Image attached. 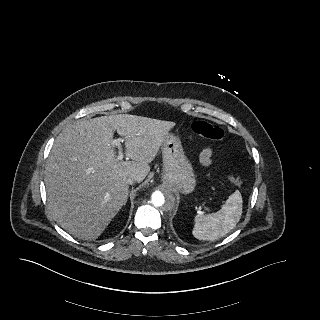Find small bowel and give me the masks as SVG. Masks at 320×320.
I'll list each match as a JSON object with an SVG mask.
<instances>
[{"label":"small bowel","instance_id":"c3829d8e","mask_svg":"<svg viewBox=\"0 0 320 320\" xmlns=\"http://www.w3.org/2000/svg\"><path fill=\"white\" fill-rule=\"evenodd\" d=\"M200 159L204 165H209L212 159V150L210 148L204 149L200 154Z\"/></svg>","mask_w":320,"mask_h":320}]
</instances>
